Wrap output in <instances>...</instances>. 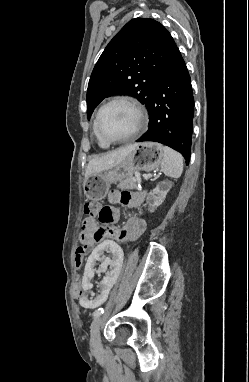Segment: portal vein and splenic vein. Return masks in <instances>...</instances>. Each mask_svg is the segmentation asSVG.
<instances>
[{
  "label": "portal vein and splenic vein",
  "instance_id": "obj_1",
  "mask_svg": "<svg viewBox=\"0 0 249 382\" xmlns=\"http://www.w3.org/2000/svg\"><path fill=\"white\" fill-rule=\"evenodd\" d=\"M133 180H139V179L133 178Z\"/></svg>",
  "mask_w": 249,
  "mask_h": 382
}]
</instances>
